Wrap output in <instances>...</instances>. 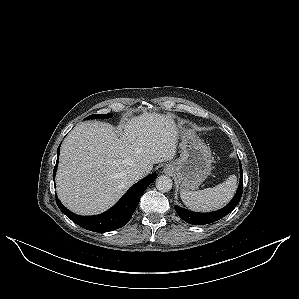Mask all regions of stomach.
<instances>
[{
  "label": "stomach",
  "mask_w": 299,
  "mask_h": 299,
  "mask_svg": "<svg viewBox=\"0 0 299 299\" xmlns=\"http://www.w3.org/2000/svg\"><path fill=\"white\" fill-rule=\"evenodd\" d=\"M180 158L167 165L182 190H194L210 175L212 159L209 147L191 129L179 130Z\"/></svg>",
  "instance_id": "1"
}]
</instances>
